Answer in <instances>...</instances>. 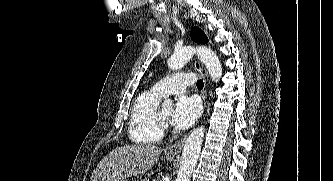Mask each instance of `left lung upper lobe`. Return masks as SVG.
Returning <instances> with one entry per match:
<instances>
[{"label":"left lung upper lobe","instance_id":"5c2ea615","mask_svg":"<svg viewBox=\"0 0 333 181\" xmlns=\"http://www.w3.org/2000/svg\"><path fill=\"white\" fill-rule=\"evenodd\" d=\"M191 38L197 43H207L208 39L206 35L198 27H194L191 31Z\"/></svg>","mask_w":333,"mask_h":181}]
</instances>
